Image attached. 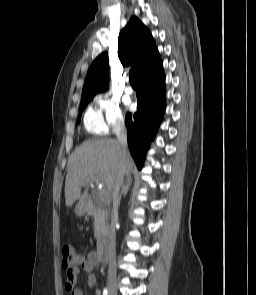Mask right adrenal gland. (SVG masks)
Listing matches in <instances>:
<instances>
[{
	"instance_id": "2a0ac1e0",
	"label": "right adrenal gland",
	"mask_w": 256,
	"mask_h": 295,
	"mask_svg": "<svg viewBox=\"0 0 256 295\" xmlns=\"http://www.w3.org/2000/svg\"><path fill=\"white\" fill-rule=\"evenodd\" d=\"M130 187H131V180L128 179V180L122 185V190H121V194H120V198H119V204H120V201H121L122 196L128 194V191H129Z\"/></svg>"
}]
</instances>
